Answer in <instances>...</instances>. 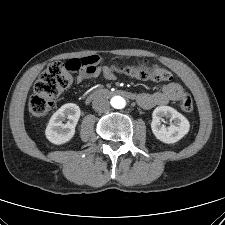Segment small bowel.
<instances>
[{
  "instance_id": "1",
  "label": "small bowel",
  "mask_w": 225,
  "mask_h": 225,
  "mask_svg": "<svg viewBox=\"0 0 225 225\" xmlns=\"http://www.w3.org/2000/svg\"><path fill=\"white\" fill-rule=\"evenodd\" d=\"M91 77H103L107 80L115 78L114 73L110 67L106 65H99L91 71H81L78 73L76 80L81 83ZM183 94L182 86L176 81H169L165 83L160 91L154 93H139L137 96V103L144 109H149L154 106L165 105L172 101L180 100Z\"/></svg>"
}]
</instances>
